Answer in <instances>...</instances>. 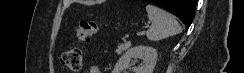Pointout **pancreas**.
<instances>
[{
  "label": "pancreas",
  "mask_w": 244,
  "mask_h": 73,
  "mask_svg": "<svg viewBox=\"0 0 244 73\" xmlns=\"http://www.w3.org/2000/svg\"><path fill=\"white\" fill-rule=\"evenodd\" d=\"M131 46V42L121 43L117 46L116 53L121 54L126 51Z\"/></svg>",
  "instance_id": "cf45deb5"
}]
</instances>
